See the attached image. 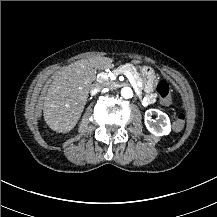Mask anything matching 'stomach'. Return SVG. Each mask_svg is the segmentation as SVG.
Returning a JSON list of instances; mask_svg holds the SVG:
<instances>
[{"label": "stomach", "mask_w": 217, "mask_h": 217, "mask_svg": "<svg viewBox=\"0 0 217 217\" xmlns=\"http://www.w3.org/2000/svg\"><path fill=\"white\" fill-rule=\"evenodd\" d=\"M140 74L143 82V89L146 94L153 93L156 88V76L151 67H141Z\"/></svg>", "instance_id": "stomach-1"}]
</instances>
